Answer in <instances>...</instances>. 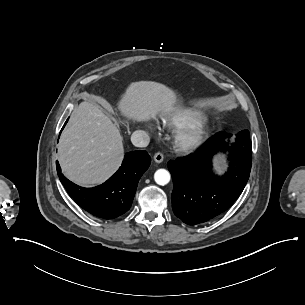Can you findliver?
Masks as SVG:
<instances>
[{"label": "liver", "mask_w": 305, "mask_h": 305, "mask_svg": "<svg viewBox=\"0 0 305 305\" xmlns=\"http://www.w3.org/2000/svg\"><path fill=\"white\" fill-rule=\"evenodd\" d=\"M101 101L110 109L111 106ZM176 94L152 81L132 82L118 103V110L135 121H149L158 114L176 111ZM123 138L99 106L81 102L71 114L58 145L59 163L64 175L80 186L105 182L121 165Z\"/></svg>", "instance_id": "1"}]
</instances>
